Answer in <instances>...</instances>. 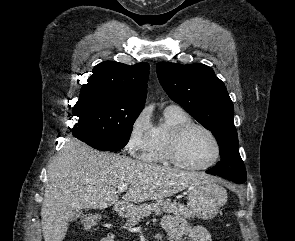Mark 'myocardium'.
<instances>
[{
    "mask_svg": "<svg viewBox=\"0 0 295 241\" xmlns=\"http://www.w3.org/2000/svg\"><path fill=\"white\" fill-rule=\"evenodd\" d=\"M194 128L200 129L208 134L215 145L214 157L210 162L204 165H190L184 162L179 156V146L183 137ZM165 153L168 161L179 168L190 171H202L212 167L218 162L221 156V144L216 134L210 128L201 123L191 121L177 126L170 132L166 141Z\"/></svg>",
    "mask_w": 295,
    "mask_h": 241,
    "instance_id": "obj_1",
    "label": "myocardium"
}]
</instances>
